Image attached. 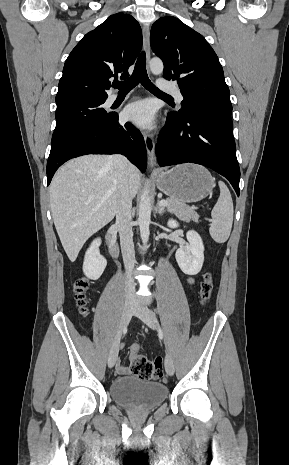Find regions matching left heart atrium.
Masks as SVG:
<instances>
[{
    "label": "left heart atrium",
    "mask_w": 289,
    "mask_h": 465,
    "mask_svg": "<svg viewBox=\"0 0 289 465\" xmlns=\"http://www.w3.org/2000/svg\"><path fill=\"white\" fill-rule=\"evenodd\" d=\"M124 117L139 127L149 128L154 123V104L150 100L133 102L125 108Z\"/></svg>",
    "instance_id": "left-heart-atrium-1"
}]
</instances>
